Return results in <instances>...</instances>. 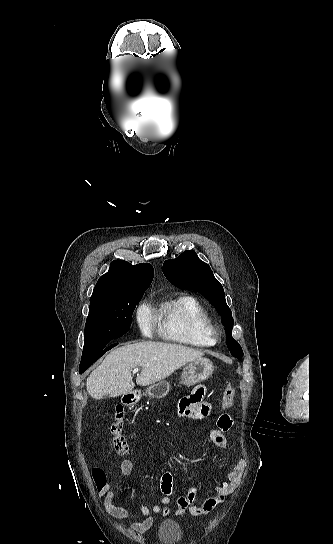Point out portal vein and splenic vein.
I'll use <instances>...</instances> for the list:
<instances>
[{"mask_svg":"<svg viewBox=\"0 0 333 544\" xmlns=\"http://www.w3.org/2000/svg\"><path fill=\"white\" fill-rule=\"evenodd\" d=\"M133 372L137 373V372H139V369H138L137 367H135V368L133 369Z\"/></svg>","mask_w":333,"mask_h":544,"instance_id":"portal-vein-and-splenic-vein-1","label":"portal vein and splenic vein"}]
</instances>
